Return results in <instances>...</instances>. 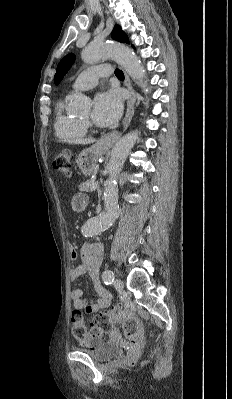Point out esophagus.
<instances>
[{"label":"esophagus","mask_w":232,"mask_h":399,"mask_svg":"<svg viewBox=\"0 0 232 399\" xmlns=\"http://www.w3.org/2000/svg\"><path fill=\"white\" fill-rule=\"evenodd\" d=\"M124 77H125V85L130 92V98L127 102L126 113L122 122L123 131L128 128L132 120V117L134 115V105L136 101L135 90L133 89L129 76L127 75L126 72H124ZM121 135L122 132L118 130H113L112 132H108L107 134L102 135L100 137L96 146L99 148L110 149L115 144V142H117V140L121 137Z\"/></svg>","instance_id":"obj_1"}]
</instances>
